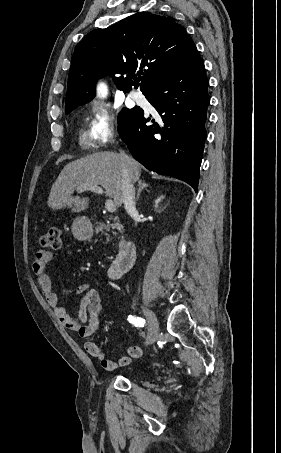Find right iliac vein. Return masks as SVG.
Returning a JSON list of instances; mask_svg holds the SVG:
<instances>
[{
    "mask_svg": "<svg viewBox=\"0 0 281 453\" xmlns=\"http://www.w3.org/2000/svg\"><path fill=\"white\" fill-rule=\"evenodd\" d=\"M140 305V304H139ZM139 309L144 311L146 309V306L144 304H141L139 306ZM143 315L147 318V320L150 322L152 328L150 329V335L149 338L147 339V343L145 344L147 347L152 346L154 340H157L159 330H160V323L158 319L154 316V312L150 310L149 308L143 312Z\"/></svg>",
    "mask_w": 281,
    "mask_h": 453,
    "instance_id": "obj_1",
    "label": "right iliac vein"
}]
</instances>
